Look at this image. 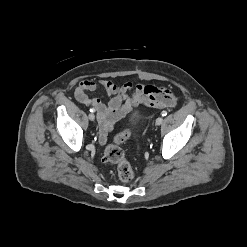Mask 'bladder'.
I'll list each match as a JSON object with an SVG mask.
<instances>
[{
	"mask_svg": "<svg viewBox=\"0 0 247 247\" xmlns=\"http://www.w3.org/2000/svg\"><path fill=\"white\" fill-rule=\"evenodd\" d=\"M136 118H137V114L136 113L132 114V119L135 120Z\"/></svg>",
	"mask_w": 247,
	"mask_h": 247,
	"instance_id": "obj_1",
	"label": "bladder"
}]
</instances>
